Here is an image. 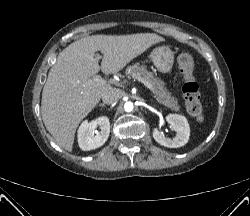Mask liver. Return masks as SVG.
I'll list each match as a JSON object with an SVG mask.
<instances>
[{
	"instance_id": "liver-1",
	"label": "liver",
	"mask_w": 250,
	"mask_h": 216,
	"mask_svg": "<svg viewBox=\"0 0 250 216\" xmlns=\"http://www.w3.org/2000/svg\"><path fill=\"white\" fill-rule=\"evenodd\" d=\"M164 39L154 33L92 35L81 38L59 53L43 87L41 114L55 142L72 151L79 123L92 111L111 86H92L90 78L100 66L94 57L102 53L101 70L114 74L152 45Z\"/></svg>"
}]
</instances>
